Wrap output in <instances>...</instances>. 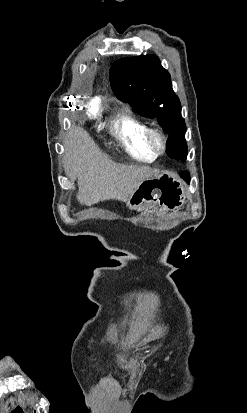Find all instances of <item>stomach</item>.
I'll return each mask as SVG.
<instances>
[{"mask_svg": "<svg viewBox=\"0 0 247 413\" xmlns=\"http://www.w3.org/2000/svg\"><path fill=\"white\" fill-rule=\"evenodd\" d=\"M186 198L187 186L184 180L173 172H160L140 182L138 188L124 202L126 207L133 211L155 209L159 215L163 211L180 209Z\"/></svg>", "mask_w": 247, "mask_h": 413, "instance_id": "stomach-1", "label": "stomach"}]
</instances>
